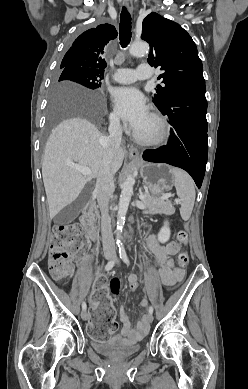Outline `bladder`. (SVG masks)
Masks as SVG:
<instances>
[{
	"label": "bladder",
	"instance_id": "obj_1",
	"mask_svg": "<svg viewBox=\"0 0 248 389\" xmlns=\"http://www.w3.org/2000/svg\"><path fill=\"white\" fill-rule=\"evenodd\" d=\"M91 346L96 352L113 359H122L133 356L141 349L139 344L131 345L120 338H114L104 342L92 337Z\"/></svg>",
	"mask_w": 248,
	"mask_h": 389
}]
</instances>
